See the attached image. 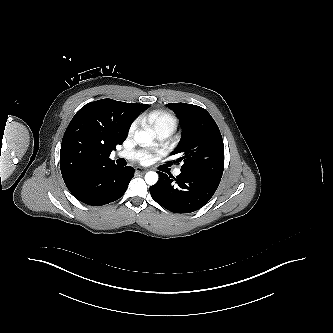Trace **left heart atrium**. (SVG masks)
I'll list each match as a JSON object with an SVG mask.
<instances>
[{"label":"left heart atrium","mask_w":333,"mask_h":333,"mask_svg":"<svg viewBox=\"0 0 333 333\" xmlns=\"http://www.w3.org/2000/svg\"><path fill=\"white\" fill-rule=\"evenodd\" d=\"M141 161L144 162V163H145V162H148V161H149V156L146 155V154L142 155V156H141Z\"/></svg>","instance_id":"left-heart-atrium-1"}]
</instances>
